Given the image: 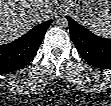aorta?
Returning a JSON list of instances; mask_svg holds the SVG:
<instances>
[{"mask_svg": "<svg viewBox=\"0 0 111 106\" xmlns=\"http://www.w3.org/2000/svg\"><path fill=\"white\" fill-rule=\"evenodd\" d=\"M56 24L59 27H67L68 26V20L65 17H59L56 21Z\"/></svg>", "mask_w": 111, "mask_h": 106, "instance_id": "1", "label": "aorta"}]
</instances>
